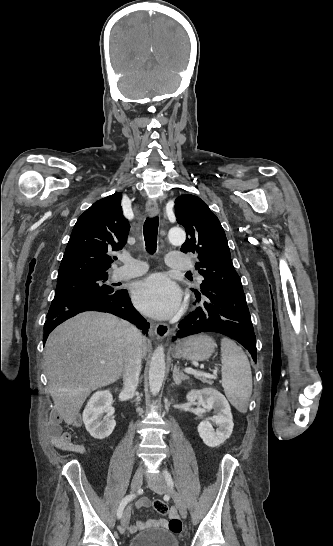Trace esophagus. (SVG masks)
Masks as SVG:
<instances>
[{
    "label": "esophagus",
    "instance_id": "obj_1",
    "mask_svg": "<svg viewBox=\"0 0 333 546\" xmlns=\"http://www.w3.org/2000/svg\"><path fill=\"white\" fill-rule=\"evenodd\" d=\"M146 208L150 216H156L159 213V207L156 200H152V199L148 200ZM169 332H170V328L165 323H159L154 327V333L158 340H161L164 337H166L169 334Z\"/></svg>",
    "mask_w": 333,
    "mask_h": 546
}]
</instances>
